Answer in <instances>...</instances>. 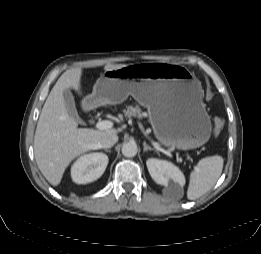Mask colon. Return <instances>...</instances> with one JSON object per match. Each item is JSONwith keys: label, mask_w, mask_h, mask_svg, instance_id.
<instances>
[{"label": "colon", "mask_w": 261, "mask_h": 254, "mask_svg": "<svg viewBox=\"0 0 261 254\" xmlns=\"http://www.w3.org/2000/svg\"><path fill=\"white\" fill-rule=\"evenodd\" d=\"M225 125V119L222 116H216L214 120V130H213V135L214 137L219 136L221 133L223 127Z\"/></svg>", "instance_id": "1"}]
</instances>
